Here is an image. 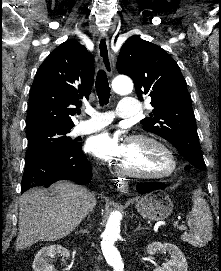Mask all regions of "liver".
<instances>
[{"instance_id": "obj_1", "label": "liver", "mask_w": 221, "mask_h": 271, "mask_svg": "<svg viewBox=\"0 0 221 271\" xmlns=\"http://www.w3.org/2000/svg\"><path fill=\"white\" fill-rule=\"evenodd\" d=\"M49 197L44 187H30L20 197L16 251L36 241H56L69 235L92 211L96 201L89 189L72 181H56Z\"/></svg>"}]
</instances>
